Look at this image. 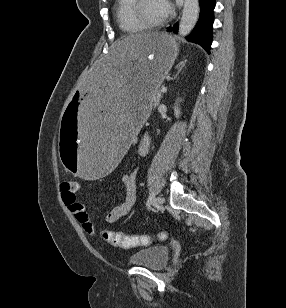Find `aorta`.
I'll list each match as a JSON object with an SVG mask.
<instances>
[{
	"label": "aorta",
	"instance_id": "1",
	"mask_svg": "<svg viewBox=\"0 0 286 308\" xmlns=\"http://www.w3.org/2000/svg\"><path fill=\"white\" fill-rule=\"evenodd\" d=\"M199 12V0H184V7L178 27L180 36H187L192 31L198 21Z\"/></svg>",
	"mask_w": 286,
	"mask_h": 308
}]
</instances>
